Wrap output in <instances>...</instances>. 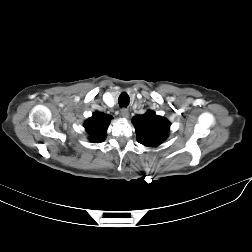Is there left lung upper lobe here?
<instances>
[{
	"label": "left lung upper lobe",
	"instance_id": "5c2ea615",
	"mask_svg": "<svg viewBox=\"0 0 252 252\" xmlns=\"http://www.w3.org/2000/svg\"><path fill=\"white\" fill-rule=\"evenodd\" d=\"M132 123L135 126L137 141L145 146L156 147L168 137L170 123L151 110L134 116Z\"/></svg>",
	"mask_w": 252,
	"mask_h": 252
}]
</instances>
